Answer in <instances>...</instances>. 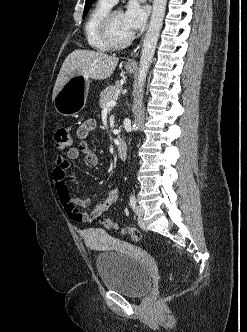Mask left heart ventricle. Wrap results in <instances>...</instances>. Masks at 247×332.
Wrapping results in <instances>:
<instances>
[{
	"label": "left heart ventricle",
	"mask_w": 247,
	"mask_h": 332,
	"mask_svg": "<svg viewBox=\"0 0 247 332\" xmlns=\"http://www.w3.org/2000/svg\"><path fill=\"white\" fill-rule=\"evenodd\" d=\"M112 35L116 41L126 39L130 34V30L125 26L123 21V13L116 10L112 16Z\"/></svg>",
	"instance_id": "left-heart-ventricle-1"
}]
</instances>
